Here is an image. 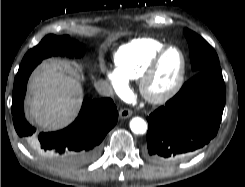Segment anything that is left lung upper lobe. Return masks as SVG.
<instances>
[{
  "label": "left lung upper lobe",
  "mask_w": 245,
  "mask_h": 187,
  "mask_svg": "<svg viewBox=\"0 0 245 187\" xmlns=\"http://www.w3.org/2000/svg\"><path fill=\"white\" fill-rule=\"evenodd\" d=\"M184 35L190 48V60L193 71L199 72L218 65V56L207 41L189 29L184 30Z\"/></svg>",
  "instance_id": "5c2ea615"
}]
</instances>
